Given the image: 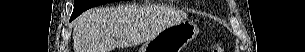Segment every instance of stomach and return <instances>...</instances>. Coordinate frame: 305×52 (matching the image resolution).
<instances>
[{
	"label": "stomach",
	"instance_id": "0dacf381",
	"mask_svg": "<svg viewBox=\"0 0 305 52\" xmlns=\"http://www.w3.org/2000/svg\"><path fill=\"white\" fill-rule=\"evenodd\" d=\"M198 33L199 28L195 23L183 20L161 30L143 44L139 52H182Z\"/></svg>",
	"mask_w": 305,
	"mask_h": 52
}]
</instances>
